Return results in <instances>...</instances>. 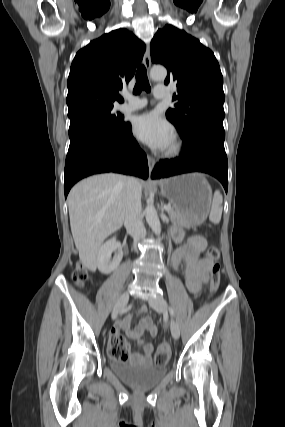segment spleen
<instances>
[{"label": "spleen", "mask_w": 285, "mask_h": 427, "mask_svg": "<svg viewBox=\"0 0 285 427\" xmlns=\"http://www.w3.org/2000/svg\"><path fill=\"white\" fill-rule=\"evenodd\" d=\"M222 203H223L222 195L220 194L219 191H215L213 200H212L211 211L209 215V220L214 224H218L221 220L222 210H223Z\"/></svg>", "instance_id": "1"}]
</instances>
